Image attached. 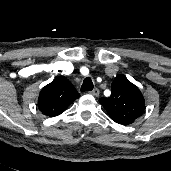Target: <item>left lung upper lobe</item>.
<instances>
[{
    "mask_svg": "<svg viewBox=\"0 0 171 171\" xmlns=\"http://www.w3.org/2000/svg\"><path fill=\"white\" fill-rule=\"evenodd\" d=\"M111 96L100 99L109 117L122 125L132 124L145 111V100L133 83L124 75H118L111 86Z\"/></svg>",
    "mask_w": 171,
    "mask_h": 171,
    "instance_id": "left-lung-upper-lobe-1",
    "label": "left lung upper lobe"
}]
</instances>
